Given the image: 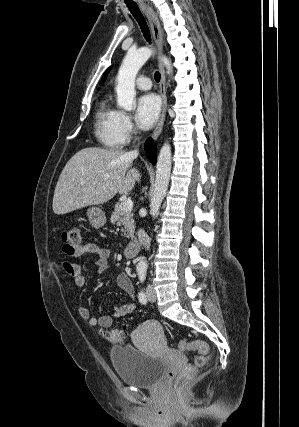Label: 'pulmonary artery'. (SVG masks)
Instances as JSON below:
<instances>
[{
  "instance_id": "1",
  "label": "pulmonary artery",
  "mask_w": 299,
  "mask_h": 427,
  "mask_svg": "<svg viewBox=\"0 0 299 427\" xmlns=\"http://www.w3.org/2000/svg\"><path fill=\"white\" fill-rule=\"evenodd\" d=\"M136 86L141 90H148L151 88V80L147 76H139L136 79Z\"/></svg>"
}]
</instances>
